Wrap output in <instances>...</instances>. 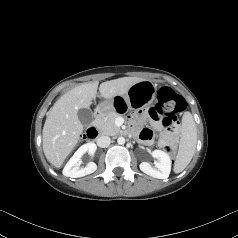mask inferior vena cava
<instances>
[{
	"label": "inferior vena cava",
	"instance_id": "602c4592",
	"mask_svg": "<svg viewBox=\"0 0 238 238\" xmlns=\"http://www.w3.org/2000/svg\"><path fill=\"white\" fill-rule=\"evenodd\" d=\"M111 143V139L109 136H100L97 139V145L101 148L108 147Z\"/></svg>",
	"mask_w": 238,
	"mask_h": 238
}]
</instances>
